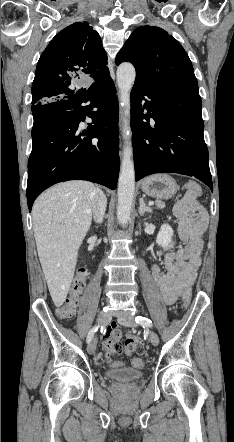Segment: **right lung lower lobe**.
<instances>
[{
	"instance_id": "1",
	"label": "right lung lower lobe",
	"mask_w": 234,
	"mask_h": 442,
	"mask_svg": "<svg viewBox=\"0 0 234 442\" xmlns=\"http://www.w3.org/2000/svg\"><path fill=\"white\" fill-rule=\"evenodd\" d=\"M89 102L88 106L83 103ZM96 108L95 111H92ZM32 152L27 201L51 185L87 180L115 189L119 175L118 100L111 77L93 83L81 96L32 106ZM92 119L86 130L79 123Z\"/></svg>"
}]
</instances>
